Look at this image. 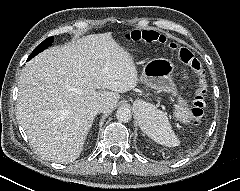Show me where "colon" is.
<instances>
[{
	"instance_id": "colon-1",
	"label": "colon",
	"mask_w": 240,
	"mask_h": 191,
	"mask_svg": "<svg viewBox=\"0 0 240 191\" xmlns=\"http://www.w3.org/2000/svg\"><path fill=\"white\" fill-rule=\"evenodd\" d=\"M127 40L146 45H164L166 37L156 31H133L127 35ZM168 47L172 51H176L182 62L190 66L198 78V90L195 99L188 108V115L193 124H199L204 117L205 95L207 93L206 73L200 60L187 48H179L175 43H169Z\"/></svg>"
}]
</instances>
